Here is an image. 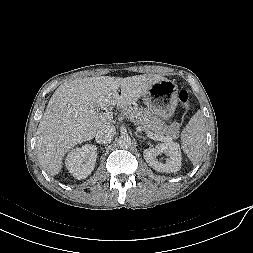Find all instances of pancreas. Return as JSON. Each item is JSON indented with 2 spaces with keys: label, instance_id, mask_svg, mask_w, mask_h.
<instances>
[{
  "label": "pancreas",
  "instance_id": "cf45deb5",
  "mask_svg": "<svg viewBox=\"0 0 253 253\" xmlns=\"http://www.w3.org/2000/svg\"><path fill=\"white\" fill-rule=\"evenodd\" d=\"M122 115L133 121L136 125H140L141 129L145 132L150 131L157 136L167 135L170 138H177L179 136L180 124L174 122L167 126L148 109L129 106L123 109Z\"/></svg>",
  "mask_w": 253,
  "mask_h": 253
}]
</instances>
